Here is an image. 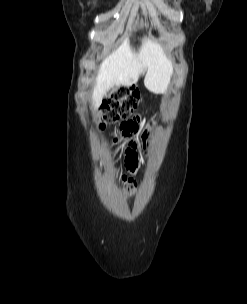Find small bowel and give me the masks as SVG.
<instances>
[{"mask_svg": "<svg viewBox=\"0 0 247 304\" xmlns=\"http://www.w3.org/2000/svg\"><path fill=\"white\" fill-rule=\"evenodd\" d=\"M151 116L153 115L149 112L127 113L128 119H149ZM154 125L155 122L153 120H138L137 122L135 120H125L124 123L119 125L120 130L118 132L116 130L111 132L112 139L116 141V146L113 152L111 151L110 153H113L114 156L120 155L124 166L131 172L136 169L139 152H148L151 149L153 135L147 132H151L154 129ZM139 143H142V145H139ZM120 151L124 152L120 153Z\"/></svg>", "mask_w": 247, "mask_h": 304, "instance_id": "obj_1", "label": "small bowel"}]
</instances>
